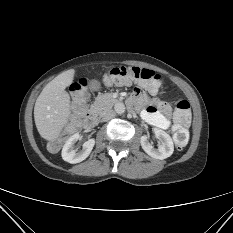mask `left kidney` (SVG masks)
I'll return each mask as SVG.
<instances>
[{"mask_svg": "<svg viewBox=\"0 0 233 233\" xmlns=\"http://www.w3.org/2000/svg\"><path fill=\"white\" fill-rule=\"evenodd\" d=\"M154 134L160 141L158 148H154L147 140V136L144 135L140 140L142 149L155 159L163 160L170 157L174 151V145L170 135L159 128H154Z\"/></svg>", "mask_w": 233, "mask_h": 233, "instance_id": "left-kidney-1", "label": "left kidney"}]
</instances>
